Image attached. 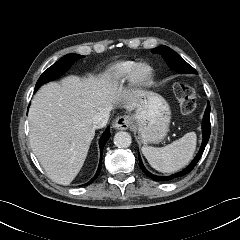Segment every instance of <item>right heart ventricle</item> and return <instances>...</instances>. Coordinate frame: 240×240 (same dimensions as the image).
Listing matches in <instances>:
<instances>
[{
	"instance_id": "1",
	"label": "right heart ventricle",
	"mask_w": 240,
	"mask_h": 240,
	"mask_svg": "<svg viewBox=\"0 0 240 240\" xmlns=\"http://www.w3.org/2000/svg\"><path fill=\"white\" fill-rule=\"evenodd\" d=\"M136 64L134 61L124 60L111 65L107 72L108 83L115 87L125 82L130 78Z\"/></svg>"
}]
</instances>
